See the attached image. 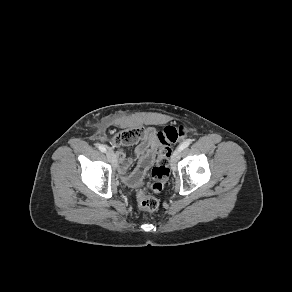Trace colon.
I'll return each mask as SVG.
<instances>
[{
  "label": "colon",
  "instance_id": "1",
  "mask_svg": "<svg viewBox=\"0 0 292 292\" xmlns=\"http://www.w3.org/2000/svg\"><path fill=\"white\" fill-rule=\"evenodd\" d=\"M187 131L183 126H167L157 133L160 143L159 154L156 165L151 171L152 183L150 189L153 193H159L169 177V162L171 157V146L185 139ZM144 136L142 128H132L120 131L113 138L115 145H128L134 143ZM140 208L146 211H154L158 208V199L152 194L140 192L137 195Z\"/></svg>",
  "mask_w": 292,
  "mask_h": 292
}]
</instances>
